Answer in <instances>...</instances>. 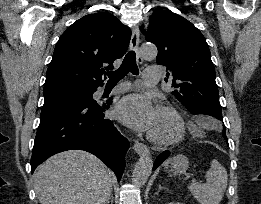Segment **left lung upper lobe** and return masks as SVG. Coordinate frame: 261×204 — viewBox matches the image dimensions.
<instances>
[{
    "label": "left lung upper lobe",
    "mask_w": 261,
    "mask_h": 204,
    "mask_svg": "<svg viewBox=\"0 0 261 204\" xmlns=\"http://www.w3.org/2000/svg\"><path fill=\"white\" fill-rule=\"evenodd\" d=\"M144 35L157 46V64L167 67V77L173 76L172 94L192 114L225 131L215 69L203 34L180 15L157 10Z\"/></svg>",
    "instance_id": "obj_1"
}]
</instances>
